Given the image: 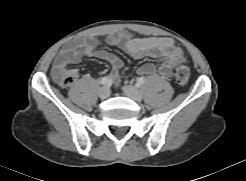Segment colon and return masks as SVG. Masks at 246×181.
Listing matches in <instances>:
<instances>
[{"label":"colon","instance_id":"obj_1","mask_svg":"<svg viewBox=\"0 0 246 181\" xmlns=\"http://www.w3.org/2000/svg\"><path fill=\"white\" fill-rule=\"evenodd\" d=\"M54 78L60 86L66 87L73 84L76 80V72L72 69H59L53 71ZM174 77L177 84L185 86L190 78V69L187 61L179 59L174 68Z\"/></svg>","mask_w":246,"mask_h":181}]
</instances>
